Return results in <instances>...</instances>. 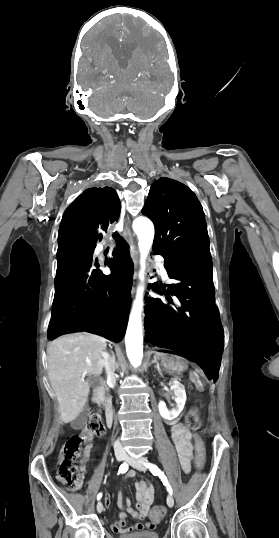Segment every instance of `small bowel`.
Segmentation results:
<instances>
[{"label":"small bowel","mask_w":279,"mask_h":538,"mask_svg":"<svg viewBox=\"0 0 279 538\" xmlns=\"http://www.w3.org/2000/svg\"><path fill=\"white\" fill-rule=\"evenodd\" d=\"M171 438L177 450L179 462L185 473H189L191 469L192 458V435L188 429L181 423L174 424L172 426ZM93 445L88 444L84 448L83 454L80 459V468L84 472L86 469V463L90 459ZM136 475L134 469H130L126 475L127 479L133 478ZM154 499V487L148 485L144 480H140L136 483V500L137 510H134L129 499H124L122 492L118 493V506L122 510L119 518L111 524L110 528L115 533H126L133 531H141L144 529H153L154 522H141L149 513V509ZM111 504L110 495L105 496V505L109 507ZM131 516L138 520L134 525L127 527L126 520Z\"/></svg>","instance_id":"1"}]
</instances>
